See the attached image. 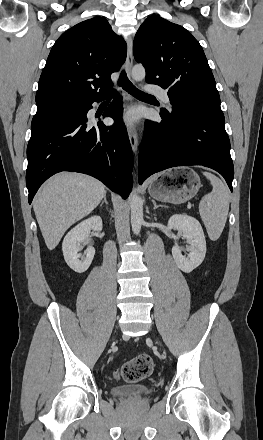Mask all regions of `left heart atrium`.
<instances>
[{"label":"left heart atrium","instance_id":"1","mask_svg":"<svg viewBox=\"0 0 263 440\" xmlns=\"http://www.w3.org/2000/svg\"><path fill=\"white\" fill-rule=\"evenodd\" d=\"M137 120V113L135 111L127 112L122 121L124 124L131 126Z\"/></svg>","mask_w":263,"mask_h":440}]
</instances>
